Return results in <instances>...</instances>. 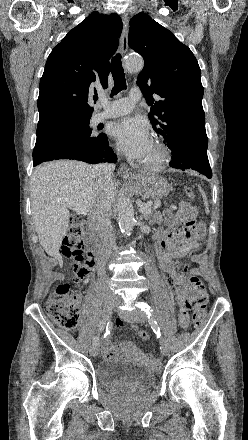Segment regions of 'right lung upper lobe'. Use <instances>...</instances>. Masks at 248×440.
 <instances>
[{
    "label": "right lung upper lobe",
    "instance_id": "1",
    "mask_svg": "<svg viewBox=\"0 0 248 440\" xmlns=\"http://www.w3.org/2000/svg\"><path fill=\"white\" fill-rule=\"evenodd\" d=\"M122 26L117 14L92 12L53 48L40 80L38 131L92 116L88 100L95 83L108 87Z\"/></svg>",
    "mask_w": 248,
    "mask_h": 440
}]
</instances>
